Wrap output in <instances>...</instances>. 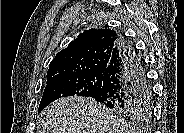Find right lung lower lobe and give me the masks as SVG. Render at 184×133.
<instances>
[{"label": "right lung lower lobe", "mask_w": 184, "mask_h": 133, "mask_svg": "<svg viewBox=\"0 0 184 133\" xmlns=\"http://www.w3.org/2000/svg\"><path fill=\"white\" fill-rule=\"evenodd\" d=\"M150 93L143 60L134 46L120 36L94 100L106 106L131 105Z\"/></svg>", "instance_id": "1"}]
</instances>
